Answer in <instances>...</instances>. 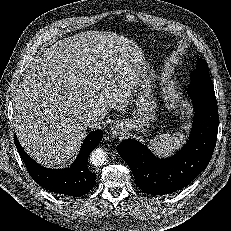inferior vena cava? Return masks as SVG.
Returning a JSON list of instances; mask_svg holds the SVG:
<instances>
[{"label":"inferior vena cava","mask_w":231,"mask_h":231,"mask_svg":"<svg viewBox=\"0 0 231 231\" xmlns=\"http://www.w3.org/2000/svg\"><path fill=\"white\" fill-rule=\"evenodd\" d=\"M84 121L89 127L97 126L100 123V119L95 114H88L85 116Z\"/></svg>","instance_id":"inferior-vena-cava-1"}]
</instances>
